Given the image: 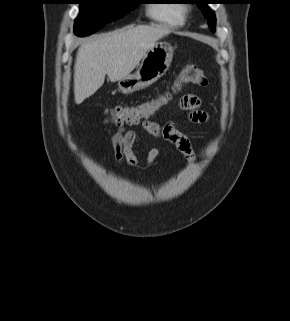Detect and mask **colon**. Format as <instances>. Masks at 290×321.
<instances>
[{
    "mask_svg": "<svg viewBox=\"0 0 290 321\" xmlns=\"http://www.w3.org/2000/svg\"><path fill=\"white\" fill-rule=\"evenodd\" d=\"M206 87L208 79L204 71L194 65L183 68L173 86L156 98L132 106H115L106 110L109 122L117 125H136L156 115L173 98L174 93L184 85Z\"/></svg>",
    "mask_w": 290,
    "mask_h": 321,
    "instance_id": "obj_1",
    "label": "colon"
}]
</instances>
